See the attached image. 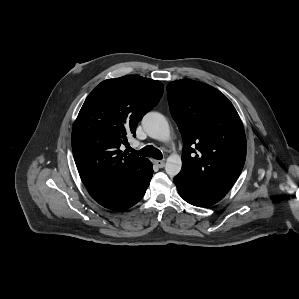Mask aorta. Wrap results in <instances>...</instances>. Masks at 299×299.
<instances>
[{
  "label": "aorta",
  "mask_w": 299,
  "mask_h": 299,
  "mask_svg": "<svg viewBox=\"0 0 299 299\" xmlns=\"http://www.w3.org/2000/svg\"><path fill=\"white\" fill-rule=\"evenodd\" d=\"M142 126L149 137L168 141L170 139V128L166 118L158 112H148L142 119ZM182 167L181 157L178 154H171L166 161L165 171L173 177L176 176Z\"/></svg>",
  "instance_id": "762f6f07"
}]
</instances>
